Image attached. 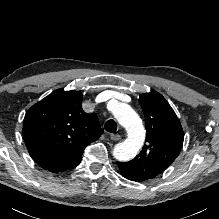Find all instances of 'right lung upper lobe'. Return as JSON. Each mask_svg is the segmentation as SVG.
<instances>
[{
	"instance_id": "cb5924a9",
	"label": "right lung upper lobe",
	"mask_w": 219,
	"mask_h": 219,
	"mask_svg": "<svg viewBox=\"0 0 219 219\" xmlns=\"http://www.w3.org/2000/svg\"><path fill=\"white\" fill-rule=\"evenodd\" d=\"M82 93L58 89L26 113L23 137L32 159L60 173L76 167L87 145L103 133L95 113L82 109Z\"/></svg>"
}]
</instances>
